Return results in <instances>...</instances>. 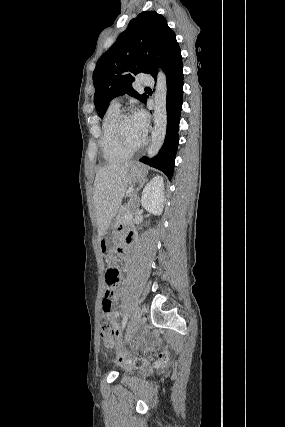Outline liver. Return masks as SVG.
Wrapping results in <instances>:
<instances>
[{
  "mask_svg": "<svg viewBox=\"0 0 285 427\" xmlns=\"http://www.w3.org/2000/svg\"><path fill=\"white\" fill-rule=\"evenodd\" d=\"M132 165V162L109 164L102 167L96 174L93 205L99 239L106 233L125 196Z\"/></svg>",
  "mask_w": 285,
  "mask_h": 427,
  "instance_id": "1",
  "label": "liver"
}]
</instances>
